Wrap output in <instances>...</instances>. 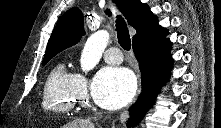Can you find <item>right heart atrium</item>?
Wrapping results in <instances>:
<instances>
[{
    "instance_id": "d8ad5b80",
    "label": "right heart atrium",
    "mask_w": 221,
    "mask_h": 128,
    "mask_svg": "<svg viewBox=\"0 0 221 128\" xmlns=\"http://www.w3.org/2000/svg\"><path fill=\"white\" fill-rule=\"evenodd\" d=\"M74 90L81 101L88 99V82L87 78L81 73L74 74Z\"/></svg>"
}]
</instances>
